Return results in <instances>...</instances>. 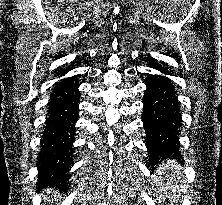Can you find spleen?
<instances>
[{
  "mask_svg": "<svg viewBox=\"0 0 222 205\" xmlns=\"http://www.w3.org/2000/svg\"><path fill=\"white\" fill-rule=\"evenodd\" d=\"M180 170L181 167L176 162L168 161L157 169L154 176V183L159 186V190L165 194V197L170 199V202H175L183 192V186L177 184L181 178Z\"/></svg>",
  "mask_w": 222,
  "mask_h": 205,
  "instance_id": "3e777b00",
  "label": "spleen"
}]
</instances>
